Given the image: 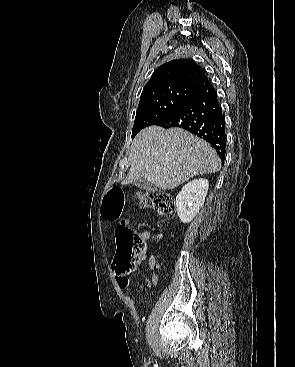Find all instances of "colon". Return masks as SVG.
Wrapping results in <instances>:
<instances>
[{"label":"colon","mask_w":295,"mask_h":367,"mask_svg":"<svg viewBox=\"0 0 295 367\" xmlns=\"http://www.w3.org/2000/svg\"><path fill=\"white\" fill-rule=\"evenodd\" d=\"M139 204L144 208H153L161 215L172 217L175 214L173 197L157 188L148 189L139 194ZM125 205L124 191L119 186L111 187L104 200L103 217L107 220H119ZM117 250L114 269L120 274H127L134 269L142 258L146 244L144 240L125 224L116 228Z\"/></svg>","instance_id":"colon-1"}]
</instances>
